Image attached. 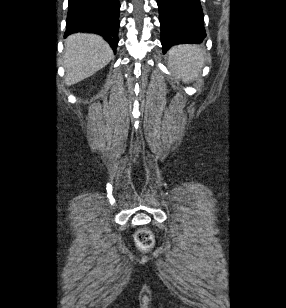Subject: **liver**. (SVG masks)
<instances>
[{
    "label": "liver",
    "instance_id": "6515ba94",
    "mask_svg": "<svg viewBox=\"0 0 286 308\" xmlns=\"http://www.w3.org/2000/svg\"><path fill=\"white\" fill-rule=\"evenodd\" d=\"M113 58V51L98 35L78 33L65 40V83H78L105 67Z\"/></svg>",
    "mask_w": 286,
    "mask_h": 308
}]
</instances>
